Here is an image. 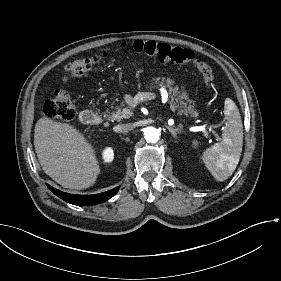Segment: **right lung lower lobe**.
<instances>
[{
	"instance_id": "98d812e1",
	"label": "right lung lower lobe",
	"mask_w": 281,
	"mask_h": 281,
	"mask_svg": "<svg viewBox=\"0 0 281 281\" xmlns=\"http://www.w3.org/2000/svg\"><path fill=\"white\" fill-rule=\"evenodd\" d=\"M48 188L59 198L63 199L64 201L77 205V206H90L102 203L108 199H110L116 192L119 190V187L113 188L109 191H105L103 193L94 194V195H75V194H68L53 188L50 185H47Z\"/></svg>"
}]
</instances>
